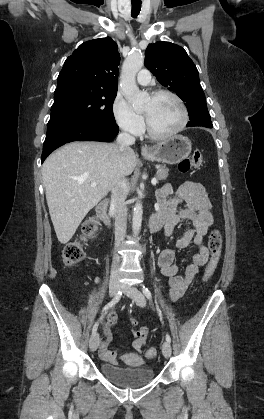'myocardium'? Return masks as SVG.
Masks as SVG:
<instances>
[{
  "instance_id": "1",
  "label": "myocardium",
  "mask_w": 264,
  "mask_h": 419,
  "mask_svg": "<svg viewBox=\"0 0 264 419\" xmlns=\"http://www.w3.org/2000/svg\"><path fill=\"white\" fill-rule=\"evenodd\" d=\"M159 96H169L171 98H173L176 103L178 104L180 111H181V120L178 124V126L176 128H174L173 130L167 132V133H157L155 132L148 120L146 119L145 124H146V131L147 134L150 138L154 139V140H166V139H170L172 137H174L175 135H177L178 133H180L184 127L186 126L187 122H188V110L187 107L184 103V101L181 99V97L176 94L175 92L171 91V90H166V89H160V90H156L154 92H152L151 94V98H157Z\"/></svg>"
}]
</instances>
